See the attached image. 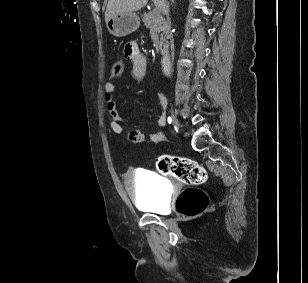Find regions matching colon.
<instances>
[{
	"instance_id": "obj_1",
	"label": "colon",
	"mask_w": 308,
	"mask_h": 283,
	"mask_svg": "<svg viewBox=\"0 0 308 283\" xmlns=\"http://www.w3.org/2000/svg\"><path fill=\"white\" fill-rule=\"evenodd\" d=\"M124 71L121 60L113 64L112 74L120 76ZM157 169L166 176H171L184 184L195 186L202 184L207 179L205 169L196 161L172 155H162L157 159ZM208 206L205 193L195 187H187L178 196L177 210L186 216H197Z\"/></svg>"
}]
</instances>
